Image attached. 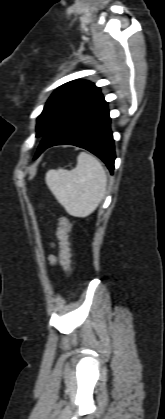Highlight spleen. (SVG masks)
<instances>
[{
    "label": "spleen",
    "mask_w": 165,
    "mask_h": 419,
    "mask_svg": "<svg viewBox=\"0 0 165 419\" xmlns=\"http://www.w3.org/2000/svg\"><path fill=\"white\" fill-rule=\"evenodd\" d=\"M46 184L65 210L75 217H87L104 198L107 175L92 155L81 152L72 170H49Z\"/></svg>",
    "instance_id": "3e777b00"
}]
</instances>
